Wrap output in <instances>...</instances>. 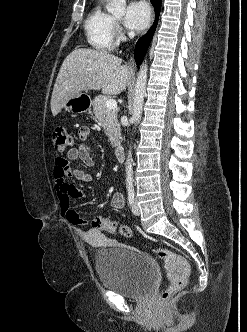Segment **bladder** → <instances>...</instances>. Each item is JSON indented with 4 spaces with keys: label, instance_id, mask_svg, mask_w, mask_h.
I'll use <instances>...</instances> for the list:
<instances>
[{
    "label": "bladder",
    "instance_id": "bladder-1",
    "mask_svg": "<svg viewBox=\"0 0 247 332\" xmlns=\"http://www.w3.org/2000/svg\"><path fill=\"white\" fill-rule=\"evenodd\" d=\"M95 268L103 287L130 299L144 297L156 280L152 257L121 243L98 250Z\"/></svg>",
    "mask_w": 247,
    "mask_h": 332
}]
</instances>
